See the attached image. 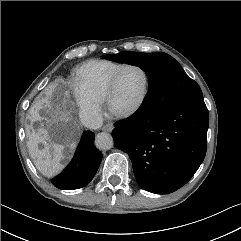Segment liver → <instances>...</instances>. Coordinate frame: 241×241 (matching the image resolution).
<instances>
[{
    "instance_id": "liver-1",
    "label": "liver",
    "mask_w": 241,
    "mask_h": 241,
    "mask_svg": "<svg viewBox=\"0 0 241 241\" xmlns=\"http://www.w3.org/2000/svg\"><path fill=\"white\" fill-rule=\"evenodd\" d=\"M54 88L52 86L50 92ZM65 96H69L68 92ZM29 113L32 122L38 121L41 124L38 132L27 128L29 154L36 168L44 176L52 177L64 167V150L74 148L80 135L79 125L74 121L66 101L54 104L47 98H41L33 103ZM49 130L58 136L60 144L50 145Z\"/></svg>"
}]
</instances>
